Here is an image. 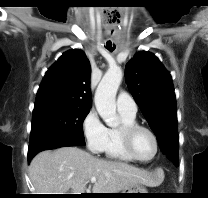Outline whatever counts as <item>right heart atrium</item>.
I'll list each match as a JSON object with an SVG mask.
<instances>
[{
    "label": "right heart atrium",
    "instance_id": "right-heart-atrium-1",
    "mask_svg": "<svg viewBox=\"0 0 208 198\" xmlns=\"http://www.w3.org/2000/svg\"><path fill=\"white\" fill-rule=\"evenodd\" d=\"M82 131L89 151L94 154L103 152L107 137V128L94 109H91L85 115L82 121Z\"/></svg>",
    "mask_w": 208,
    "mask_h": 198
}]
</instances>
